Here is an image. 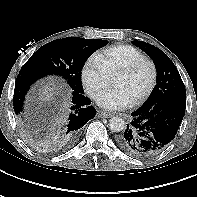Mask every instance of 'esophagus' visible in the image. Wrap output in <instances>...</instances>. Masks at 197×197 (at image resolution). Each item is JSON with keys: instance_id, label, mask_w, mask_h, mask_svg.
I'll return each mask as SVG.
<instances>
[{"instance_id": "34e87169", "label": "esophagus", "mask_w": 197, "mask_h": 197, "mask_svg": "<svg viewBox=\"0 0 197 197\" xmlns=\"http://www.w3.org/2000/svg\"><path fill=\"white\" fill-rule=\"evenodd\" d=\"M99 115L103 118H110L112 117L114 114L108 111H101L99 112Z\"/></svg>"}]
</instances>
